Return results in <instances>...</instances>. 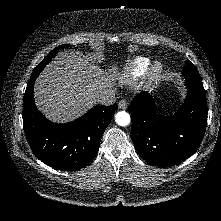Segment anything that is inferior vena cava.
Returning <instances> with one entry per match:
<instances>
[{
    "label": "inferior vena cava",
    "instance_id": "602c4592",
    "mask_svg": "<svg viewBox=\"0 0 221 221\" xmlns=\"http://www.w3.org/2000/svg\"><path fill=\"white\" fill-rule=\"evenodd\" d=\"M115 88H109L102 91L96 97V102L102 105H112L116 102L115 98Z\"/></svg>",
    "mask_w": 221,
    "mask_h": 221
}]
</instances>
